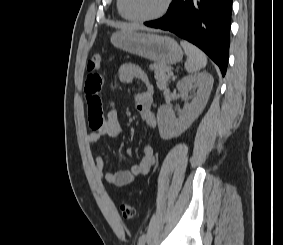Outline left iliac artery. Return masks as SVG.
I'll list each match as a JSON object with an SVG mask.
<instances>
[{"instance_id": "obj_1", "label": "left iliac artery", "mask_w": 283, "mask_h": 245, "mask_svg": "<svg viewBox=\"0 0 283 245\" xmlns=\"http://www.w3.org/2000/svg\"><path fill=\"white\" fill-rule=\"evenodd\" d=\"M146 241V235L143 234L140 236L139 241H138V245H144Z\"/></svg>"}]
</instances>
